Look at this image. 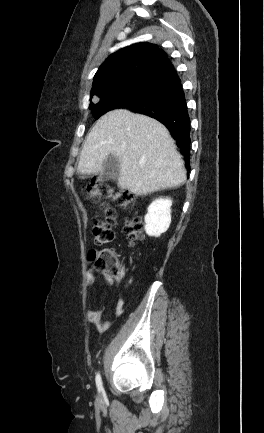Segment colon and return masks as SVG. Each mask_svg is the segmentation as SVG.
Listing matches in <instances>:
<instances>
[{
	"label": "colon",
	"mask_w": 264,
	"mask_h": 433,
	"mask_svg": "<svg viewBox=\"0 0 264 433\" xmlns=\"http://www.w3.org/2000/svg\"><path fill=\"white\" fill-rule=\"evenodd\" d=\"M86 197L98 202L104 199H112L119 206L130 207L135 204V196L127 191L117 190L105 183L92 182L85 190ZM116 213L112 207L103 206L102 214L98 218L92 228L94 242L97 246L109 245L113 242ZM143 223L138 216H134L126 221L124 233L129 238L131 243L141 241L143 239ZM92 260L95 261L96 269L109 275L117 277L120 273L118 254L112 248L103 249L101 251H93L91 253Z\"/></svg>",
	"instance_id": "colon-1"
}]
</instances>
